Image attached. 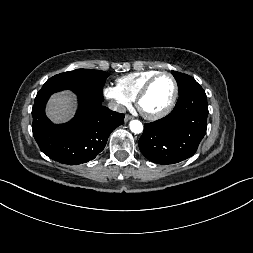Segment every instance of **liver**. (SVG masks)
Wrapping results in <instances>:
<instances>
[{
  "instance_id": "1",
  "label": "liver",
  "mask_w": 253,
  "mask_h": 253,
  "mask_svg": "<svg viewBox=\"0 0 253 253\" xmlns=\"http://www.w3.org/2000/svg\"><path fill=\"white\" fill-rule=\"evenodd\" d=\"M75 110V95L69 91L54 94L47 105L46 114L54 123H63L72 118Z\"/></svg>"
}]
</instances>
